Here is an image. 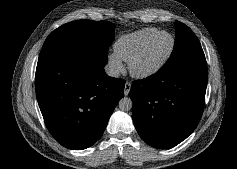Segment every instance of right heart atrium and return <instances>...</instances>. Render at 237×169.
<instances>
[{"mask_svg": "<svg viewBox=\"0 0 237 169\" xmlns=\"http://www.w3.org/2000/svg\"><path fill=\"white\" fill-rule=\"evenodd\" d=\"M107 58L108 64L113 71L120 72L123 70V61L116 53H109Z\"/></svg>", "mask_w": 237, "mask_h": 169, "instance_id": "1", "label": "right heart atrium"}]
</instances>
